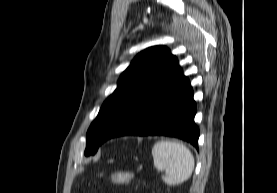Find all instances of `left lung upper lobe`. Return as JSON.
Here are the masks:
<instances>
[{"instance_id": "obj_1", "label": "left lung upper lobe", "mask_w": 277, "mask_h": 193, "mask_svg": "<svg viewBox=\"0 0 277 193\" xmlns=\"http://www.w3.org/2000/svg\"><path fill=\"white\" fill-rule=\"evenodd\" d=\"M177 58L164 46L140 52L121 74L118 87L103 103L87 132L85 155H94L106 132L134 102L180 71Z\"/></svg>"}]
</instances>
